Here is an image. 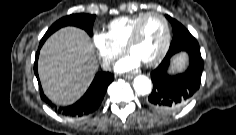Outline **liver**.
I'll use <instances>...</instances> for the list:
<instances>
[{
    "mask_svg": "<svg viewBox=\"0 0 236 135\" xmlns=\"http://www.w3.org/2000/svg\"><path fill=\"white\" fill-rule=\"evenodd\" d=\"M98 69L89 36L76 27H64L44 43L38 73L46 96L68 105L80 98Z\"/></svg>",
    "mask_w": 236,
    "mask_h": 135,
    "instance_id": "6515ba94",
    "label": "liver"
}]
</instances>
